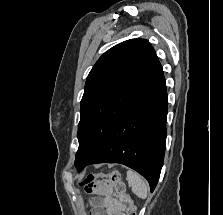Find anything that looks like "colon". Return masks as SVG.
<instances>
[{
    "label": "colon",
    "instance_id": "colon-1",
    "mask_svg": "<svg viewBox=\"0 0 223 215\" xmlns=\"http://www.w3.org/2000/svg\"><path fill=\"white\" fill-rule=\"evenodd\" d=\"M99 176L108 178L114 188L115 196L117 197V199L126 204V215H136V207L126 193L125 183L120 172L111 171L109 173L100 175L88 174L82 182V185L85 187L86 190H91L92 186Z\"/></svg>",
    "mask_w": 223,
    "mask_h": 215
}]
</instances>
